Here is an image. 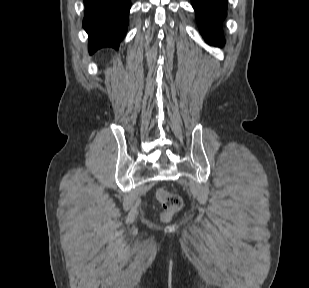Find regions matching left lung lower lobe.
Segmentation results:
<instances>
[{
  "mask_svg": "<svg viewBox=\"0 0 309 288\" xmlns=\"http://www.w3.org/2000/svg\"><path fill=\"white\" fill-rule=\"evenodd\" d=\"M202 36L210 45L222 46L220 25L226 16L227 0H191Z\"/></svg>",
  "mask_w": 309,
  "mask_h": 288,
  "instance_id": "left-lung-lower-lobe-1",
  "label": "left lung lower lobe"
}]
</instances>
